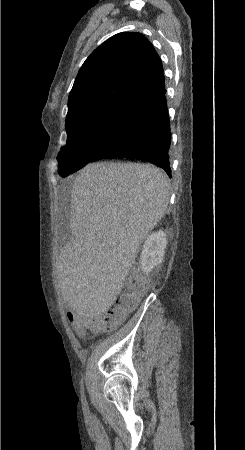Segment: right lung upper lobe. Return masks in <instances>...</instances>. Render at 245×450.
Returning a JSON list of instances; mask_svg holds the SVG:
<instances>
[{"label": "right lung upper lobe", "mask_w": 245, "mask_h": 450, "mask_svg": "<svg viewBox=\"0 0 245 450\" xmlns=\"http://www.w3.org/2000/svg\"><path fill=\"white\" fill-rule=\"evenodd\" d=\"M166 92L162 62L140 33L114 35L85 60L69 94L67 118L96 104L139 111Z\"/></svg>", "instance_id": "right-lung-upper-lobe-1"}]
</instances>
